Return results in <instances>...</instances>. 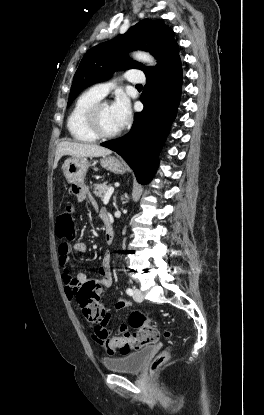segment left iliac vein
<instances>
[{
    "mask_svg": "<svg viewBox=\"0 0 264 415\" xmlns=\"http://www.w3.org/2000/svg\"><path fill=\"white\" fill-rule=\"evenodd\" d=\"M133 299L136 302H142L144 299L142 292L138 288H134Z\"/></svg>",
    "mask_w": 264,
    "mask_h": 415,
    "instance_id": "4c4485c4",
    "label": "left iliac vein"
}]
</instances>
